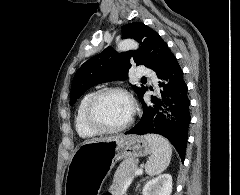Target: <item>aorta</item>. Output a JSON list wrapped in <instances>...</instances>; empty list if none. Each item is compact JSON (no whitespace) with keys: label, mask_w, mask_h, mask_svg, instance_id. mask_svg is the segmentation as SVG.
<instances>
[{"label":"aorta","mask_w":240,"mask_h":195,"mask_svg":"<svg viewBox=\"0 0 240 195\" xmlns=\"http://www.w3.org/2000/svg\"><path fill=\"white\" fill-rule=\"evenodd\" d=\"M118 48L122 52H127V50H137L138 44L135 40H123V42H119Z\"/></svg>","instance_id":"aorta-1"}]
</instances>
